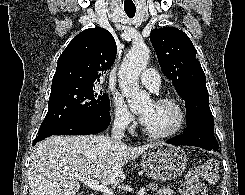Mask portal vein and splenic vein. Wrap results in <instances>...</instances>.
<instances>
[{
	"mask_svg": "<svg viewBox=\"0 0 245 195\" xmlns=\"http://www.w3.org/2000/svg\"><path fill=\"white\" fill-rule=\"evenodd\" d=\"M73 177H75L78 180H81L86 186H88L89 188L96 190V191H100L106 195H113V192L111 189H109L108 187H105L103 185H101L99 182H97L96 180H94L93 178L90 177H84L81 175H73ZM145 189L142 188L140 189L138 195H144Z\"/></svg>",
	"mask_w": 245,
	"mask_h": 195,
	"instance_id": "18ae733b",
	"label": "portal vein and splenic vein"
}]
</instances>
